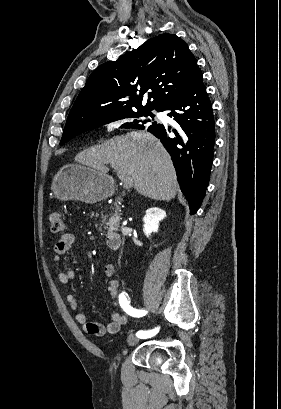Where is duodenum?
Returning a JSON list of instances; mask_svg holds the SVG:
<instances>
[{"label":"duodenum","instance_id":"obj_1","mask_svg":"<svg viewBox=\"0 0 281 409\" xmlns=\"http://www.w3.org/2000/svg\"><path fill=\"white\" fill-rule=\"evenodd\" d=\"M116 200L118 202H121L123 200V197L121 195H118L116 197ZM107 240H108V246L113 249H119L121 247V236L118 232L115 231H109L107 233Z\"/></svg>","mask_w":281,"mask_h":409}]
</instances>
